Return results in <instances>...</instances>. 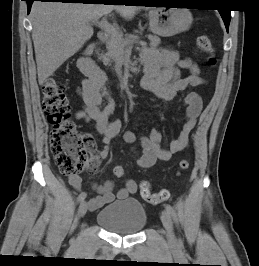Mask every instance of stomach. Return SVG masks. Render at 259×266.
Returning <instances> with one entry per match:
<instances>
[{
  "label": "stomach",
  "instance_id": "0dacf381",
  "mask_svg": "<svg viewBox=\"0 0 259 266\" xmlns=\"http://www.w3.org/2000/svg\"><path fill=\"white\" fill-rule=\"evenodd\" d=\"M148 16L151 32L161 37L187 31L193 22L191 12L185 8H155L149 11Z\"/></svg>",
  "mask_w": 259,
  "mask_h": 266
}]
</instances>
